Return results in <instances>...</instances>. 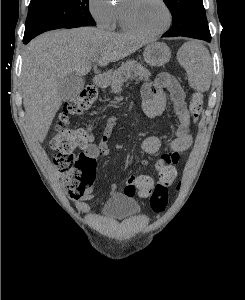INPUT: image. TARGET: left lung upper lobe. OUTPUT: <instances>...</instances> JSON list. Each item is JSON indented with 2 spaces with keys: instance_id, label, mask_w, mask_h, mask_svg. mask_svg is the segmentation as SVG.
<instances>
[{
  "instance_id": "1",
  "label": "left lung upper lobe",
  "mask_w": 245,
  "mask_h": 300,
  "mask_svg": "<svg viewBox=\"0 0 245 300\" xmlns=\"http://www.w3.org/2000/svg\"><path fill=\"white\" fill-rule=\"evenodd\" d=\"M169 8L173 25L167 31L168 36L209 33L205 9L202 0H163Z\"/></svg>"
}]
</instances>
